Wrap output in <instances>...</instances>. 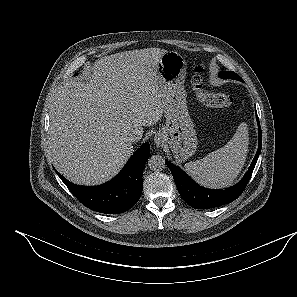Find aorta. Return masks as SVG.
Returning <instances> with one entry per match:
<instances>
[{
    "instance_id": "1",
    "label": "aorta",
    "mask_w": 297,
    "mask_h": 297,
    "mask_svg": "<svg viewBox=\"0 0 297 297\" xmlns=\"http://www.w3.org/2000/svg\"><path fill=\"white\" fill-rule=\"evenodd\" d=\"M148 166L152 171H162L166 166V162L162 156L152 155L148 159Z\"/></svg>"
}]
</instances>
